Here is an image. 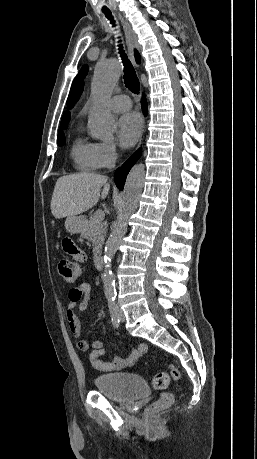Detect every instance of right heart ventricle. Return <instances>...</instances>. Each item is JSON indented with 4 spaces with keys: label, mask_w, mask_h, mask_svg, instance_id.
Listing matches in <instances>:
<instances>
[{
    "label": "right heart ventricle",
    "mask_w": 257,
    "mask_h": 459,
    "mask_svg": "<svg viewBox=\"0 0 257 459\" xmlns=\"http://www.w3.org/2000/svg\"><path fill=\"white\" fill-rule=\"evenodd\" d=\"M71 155L76 168L79 170L94 171L100 167L96 158L95 143L85 138L78 137L75 140Z\"/></svg>",
    "instance_id": "1"
}]
</instances>
